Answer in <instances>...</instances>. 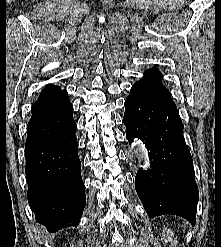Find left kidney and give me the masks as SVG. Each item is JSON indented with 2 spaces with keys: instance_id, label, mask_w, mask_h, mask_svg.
I'll list each match as a JSON object with an SVG mask.
<instances>
[{
  "instance_id": "obj_1",
  "label": "left kidney",
  "mask_w": 221,
  "mask_h": 247,
  "mask_svg": "<svg viewBox=\"0 0 221 247\" xmlns=\"http://www.w3.org/2000/svg\"><path fill=\"white\" fill-rule=\"evenodd\" d=\"M162 240H163L164 243L170 242L171 243V247L172 246L176 247V245H177V242L175 240L173 242V233L167 228H163V230H162Z\"/></svg>"
}]
</instances>
